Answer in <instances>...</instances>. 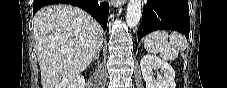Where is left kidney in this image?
I'll return each mask as SVG.
<instances>
[{
	"label": "left kidney",
	"instance_id": "1",
	"mask_svg": "<svg viewBox=\"0 0 227 88\" xmlns=\"http://www.w3.org/2000/svg\"><path fill=\"white\" fill-rule=\"evenodd\" d=\"M140 65L146 88H176L175 71L166 61L147 54L141 59ZM153 69H160L162 73L157 75V79L153 77Z\"/></svg>",
	"mask_w": 227,
	"mask_h": 88
}]
</instances>
